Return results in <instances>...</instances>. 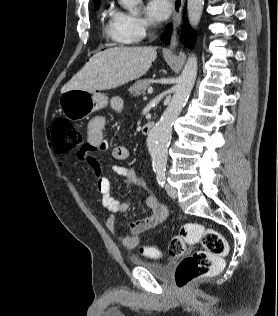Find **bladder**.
Wrapping results in <instances>:
<instances>
[{
    "instance_id": "1",
    "label": "bladder",
    "mask_w": 278,
    "mask_h": 316,
    "mask_svg": "<svg viewBox=\"0 0 278 316\" xmlns=\"http://www.w3.org/2000/svg\"><path fill=\"white\" fill-rule=\"evenodd\" d=\"M133 263L136 266L144 268L153 276L160 279L168 278L173 268V265L171 263L162 264V263L147 261V260L138 259V258H134Z\"/></svg>"
}]
</instances>
